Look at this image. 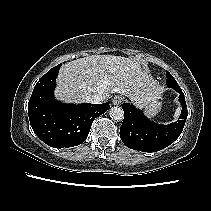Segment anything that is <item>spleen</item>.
I'll return each instance as SVG.
<instances>
[{"label": "spleen", "instance_id": "3e777b00", "mask_svg": "<svg viewBox=\"0 0 211 211\" xmlns=\"http://www.w3.org/2000/svg\"><path fill=\"white\" fill-rule=\"evenodd\" d=\"M180 114V107H178L175 111V114H174V119H176Z\"/></svg>", "mask_w": 211, "mask_h": 211}]
</instances>
